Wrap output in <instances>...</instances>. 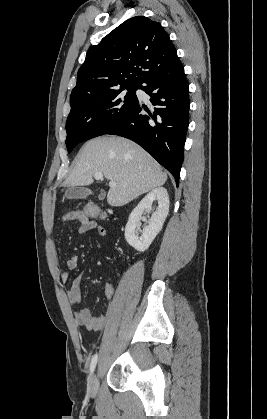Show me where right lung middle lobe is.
<instances>
[{
	"label": "right lung middle lobe",
	"mask_w": 267,
	"mask_h": 419,
	"mask_svg": "<svg viewBox=\"0 0 267 419\" xmlns=\"http://www.w3.org/2000/svg\"><path fill=\"white\" fill-rule=\"evenodd\" d=\"M137 86L84 97L71 104L66 121V146L70 153L85 140L103 135L119 122L137 101Z\"/></svg>",
	"instance_id": "dd1d6c3e"
}]
</instances>
